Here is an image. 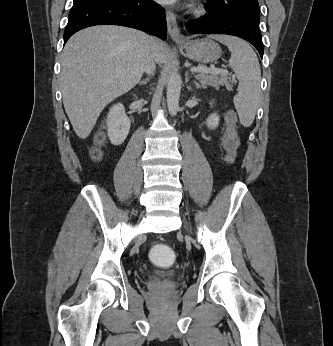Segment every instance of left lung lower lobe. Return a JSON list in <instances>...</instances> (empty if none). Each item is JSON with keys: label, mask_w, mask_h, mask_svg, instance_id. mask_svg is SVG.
Masks as SVG:
<instances>
[{"label": "left lung lower lobe", "mask_w": 333, "mask_h": 346, "mask_svg": "<svg viewBox=\"0 0 333 346\" xmlns=\"http://www.w3.org/2000/svg\"><path fill=\"white\" fill-rule=\"evenodd\" d=\"M208 14L186 23V29L193 34H227L240 37L250 42L263 56V43L259 24L243 17L223 14V11L210 6L206 7Z\"/></svg>", "instance_id": "1"}]
</instances>
